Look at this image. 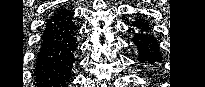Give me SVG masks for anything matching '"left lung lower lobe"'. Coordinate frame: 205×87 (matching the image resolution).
Masks as SVG:
<instances>
[{"mask_svg": "<svg viewBox=\"0 0 205 87\" xmlns=\"http://www.w3.org/2000/svg\"><path fill=\"white\" fill-rule=\"evenodd\" d=\"M134 37L132 38L138 50V60L145 65H154L162 61L157 41L151 33L150 25L141 16L132 22Z\"/></svg>", "mask_w": 205, "mask_h": 87, "instance_id": "0a47b994", "label": "left lung lower lobe"}]
</instances>
